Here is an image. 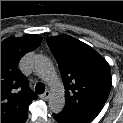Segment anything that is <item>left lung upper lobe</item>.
Returning <instances> with one entry per match:
<instances>
[{
  "instance_id": "obj_1",
  "label": "left lung upper lobe",
  "mask_w": 123,
  "mask_h": 123,
  "mask_svg": "<svg viewBox=\"0 0 123 123\" xmlns=\"http://www.w3.org/2000/svg\"><path fill=\"white\" fill-rule=\"evenodd\" d=\"M64 83L65 106L60 112L77 123L91 122L111 90L107 61L89 45L68 35L47 39Z\"/></svg>"
}]
</instances>
